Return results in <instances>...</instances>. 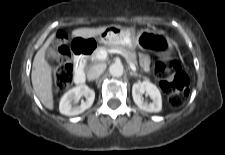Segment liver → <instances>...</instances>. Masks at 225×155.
I'll return each mask as SVG.
<instances>
[{"label": "liver", "mask_w": 225, "mask_h": 155, "mask_svg": "<svg viewBox=\"0 0 225 155\" xmlns=\"http://www.w3.org/2000/svg\"><path fill=\"white\" fill-rule=\"evenodd\" d=\"M108 26L99 28H79L72 31V36L90 38L100 35ZM55 34L51 35L40 50L36 53L31 72L33 89L41 101L48 109H54V100L52 92V69L45 59V50L54 40Z\"/></svg>", "instance_id": "1"}]
</instances>
